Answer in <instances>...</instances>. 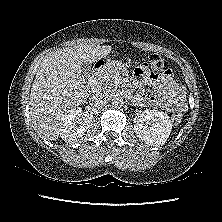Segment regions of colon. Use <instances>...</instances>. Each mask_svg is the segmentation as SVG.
I'll list each match as a JSON object with an SVG mask.
<instances>
[{
  "instance_id": "colon-1",
  "label": "colon",
  "mask_w": 222,
  "mask_h": 222,
  "mask_svg": "<svg viewBox=\"0 0 222 222\" xmlns=\"http://www.w3.org/2000/svg\"><path fill=\"white\" fill-rule=\"evenodd\" d=\"M167 70L165 67L164 60L157 54H153L150 56L148 63H144L136 68L135 72L138 74H144L147 72H160L163 73ZM182 119V115L180 112H175L172 115V121L174 123H179Z\"/></svg>"
}]
</instances>
